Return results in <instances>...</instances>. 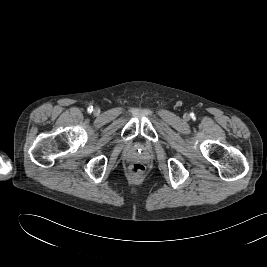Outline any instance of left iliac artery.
Returning <instances> with one entry per match:
<instances>
[{"mask_svg":"<svg viewBox=\"0 0 267 267\" xmlns=\"http://www.w3.org/2000/svg\"><path fill=\"white\" fill-rule=\"evenodd\" d=\"M191 116L194 117V113H192Z\"/></svg>","mask_w":267,"mask_h":267,"instance_id":"44dca946","label":"left iliac artery"}]
</instances>
